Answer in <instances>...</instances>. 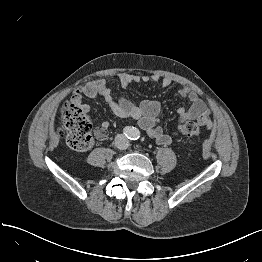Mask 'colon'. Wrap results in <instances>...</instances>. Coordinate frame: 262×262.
I'll use <instances>...</instances> for the list:
<instances>
[{
	"instance_id": "1",
	"label": "colon",
	"mask_w": 262,
	"mask_h": 262,
	"mask_svg": "<svg viewBox=\"0 0 262 262\" xmlns=\"http://www.w3.org/2000/svg\"><path fill=\"white\" fill-rule=\"evenodd\" d=\"M62 126L57 130L62 138L74 150H86L91 147L93 138L91 135V121L87 109L78 101L66 99L60 112ZM177 129L180 135L190 140L192 147L201 144L199 127L195 121L179 123Z\"/></svg>"
}]
</instances>
